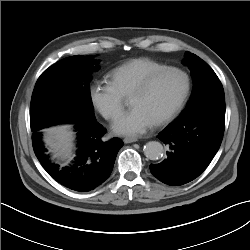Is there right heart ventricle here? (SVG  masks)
Wrapping results in <instances>:
<instances>
[{"label":"right heart ventricle","mask_w":250,"mask_h":250,"mask_svg":"<svg viewBox=\"0 0 250 250\" xmlns=\"http://www.w3.org/2000/svg\"><path fill=\"white\" fill-rule=\"evenodd\" d=\"M166 65L147 57L130 59L109 73L110 82L124 96H131L135 88L152 72Z\"/></svg>","instance_id":"right-heart-ventricle-1"}]
</instances>
